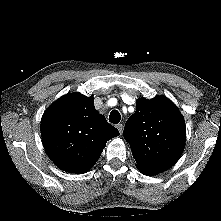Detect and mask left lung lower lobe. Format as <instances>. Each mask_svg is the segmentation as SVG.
Wrapping results in <instances>:
<instances>
[{
	"label": "left lung lower lobe",
	"mask_w": 221,
	"mask_h": 221,
	"mask_svg": "<svg viewBox=\"0 0 221 221\" xmlns=\"http://www.w3.org/2000/svg\"><path fill=\"white\" fill-rule=\"evenodd\" d=\"M143 174H145V173H143ZM145 175L152 176V175H149V174H145Z\"/></svg>",
	"instance_id": "0a47b994"
}]
</instances>
